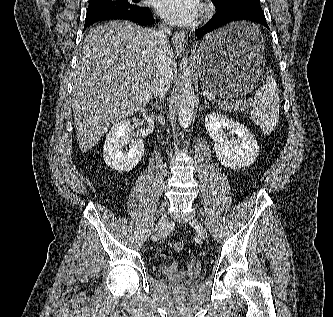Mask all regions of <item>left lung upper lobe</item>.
I'll return each mask as SVG.
<instances>
[{
  "label": "left lung upper lobe",
  "instance_id": "1",
  "mask_svg": "<svg viewBox=\"0 0 333 317\" xmlns=\"http://www.w3.org/2000/svg\"><path fill=\"white\" fill-rule=\"evenodd\" d=\"M217 8H233L239 6L260 5L259 0H211Z\"/></svg>",
  "mask_w": 333,
  "mask_h": 317
}]
</instances>
